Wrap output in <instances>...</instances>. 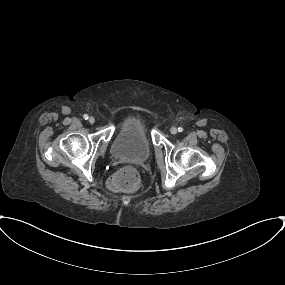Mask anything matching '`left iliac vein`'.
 I'll use <instances>...</instances> for the list:
<instances>
[{
  "instance_id": "1",
  "label": "left iliac vein",
  "mask_w": 285,
  "mask_h": 285,
  "mask_svg": "<svg viewBox=\"0 0 285 285\" xmlns=\"http://www.w3.org/2000/svg\"><path fill=\"white\" fill-rule=\"evenodd\" d=\"M170 132L172 134H176L177 133V128L176 127H171Z\"/></svg>"
}]
</instances>
